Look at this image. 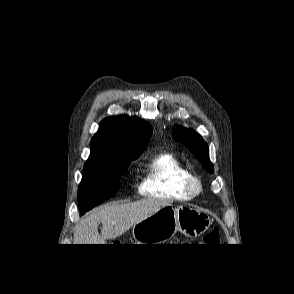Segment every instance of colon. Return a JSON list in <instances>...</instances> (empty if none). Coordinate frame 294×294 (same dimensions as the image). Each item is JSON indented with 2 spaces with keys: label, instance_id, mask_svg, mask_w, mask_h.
Listing matches in <instances>:
<instances>
[{
  "label": "colon",
  "instance_id": "colon-1",
  "mask_svg": "<svg viewBox=\"0 0 294 294\" xmlns=\"http://www.w3.org/2000/svg\"><path fill=\"white\" fill-rule=\"evenodd\" d=\"M219 240V234L216 230L205 233L202 237V243L205 245L215 244Z\"/></svg>",
  "mask_w": 294,
  "mask_h": 294
}]
</instances>
